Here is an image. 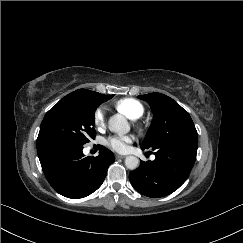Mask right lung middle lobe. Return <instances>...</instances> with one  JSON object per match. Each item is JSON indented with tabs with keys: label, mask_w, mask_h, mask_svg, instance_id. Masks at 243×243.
Returning <instances> with one entry per match:
<instances>
[{
	"label": "right lung middle lobe",
	"mask_w": 243,
	"mask_h": 243,
	"mask_svg": "<svg viewBox=\"0 0 243 243\" xmlns=\"http://www.w3.org/2000/svg\"><path fill=\"white\" fill-rule=\"evenodd\" d=\"M103 101L63 98L45 115L37 138V148L49 144L81 145L95 139L94 113Z\"/></svg>",
	"instance_id": "obj_1"
}]
</instances>
